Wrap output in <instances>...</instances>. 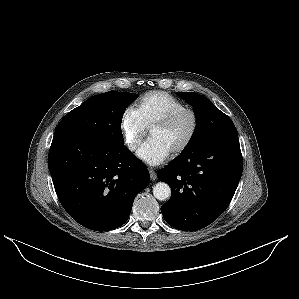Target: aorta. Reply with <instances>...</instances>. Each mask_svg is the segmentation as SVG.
<instances>
[{"label": "aorta", "instance_id": "obj_1", "mask_svg": "<svg viewBox=\"0 0 299 299\" xmlns=\"http://www.w3.org/2000/svg\"><path fill=\"white\" fill-rule=\"evenodd\" d=\"M153 195L156 199L160 201H164L168 199L171 195V188L170 186L165 182H158L153 187Z\"/></svg>", "mask_w": 299, "mask_h": 299}]
</instances>
